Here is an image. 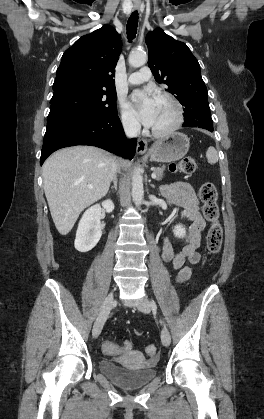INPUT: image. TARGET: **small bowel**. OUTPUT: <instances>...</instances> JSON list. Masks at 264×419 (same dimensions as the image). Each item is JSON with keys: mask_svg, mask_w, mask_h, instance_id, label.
Returning a JSON list of instances; mask_svg holds the SVG:
<instances>
[{"mask_svg": "<svg viewBox=\"0 0 264 419\" xmlns=\"http://www.w3.org/2000/svg\"><path fill=\"white\" fill-rule=\"evenodd\" d=\"M161 190L169 204L181 207L182 217L191 221L180 251L175 252L168 237L163 241L162 258L177 271L176 281L180 283L190 278L193 267L201 261V253L198 249L201 246V234L206 224L199 212V202L191 184L176 182L163 185ZM102 349L106 355L119 358L130 352L131 343L124 341L121 344L112 343L110 346L103 344Z\"/></svg>", "mask_w": 264, "mask_h": 419, "instance_id": "c3829d8e", "label": "small bowel"}]
</instances>
